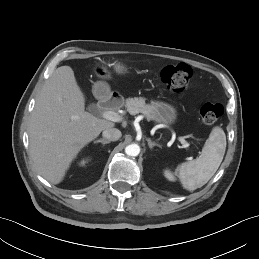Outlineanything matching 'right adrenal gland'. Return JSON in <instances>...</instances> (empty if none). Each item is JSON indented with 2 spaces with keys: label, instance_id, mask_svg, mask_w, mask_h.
I'll list each match as a JSON object with an SVG mask.
<instances>
[{
  "label": "right adrenal gland",
  "instance_id": "right-adrenal-gland-1",
  "mask_svg": "<svg viewBox=\"0 0 259 259\" xmlns=\"http://www.w3.org/2000/svg\"><path fill=\"white\" fill-rule=\"evenodd\" d=\"M94 143H102V145L104 146L105 144L110 143V141L105 139H98V140H95Z\"/></svg>",
  "mask_w": 259,
  "mask_h": 259
}]
</instances>
